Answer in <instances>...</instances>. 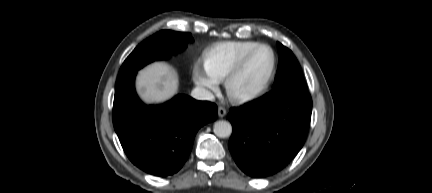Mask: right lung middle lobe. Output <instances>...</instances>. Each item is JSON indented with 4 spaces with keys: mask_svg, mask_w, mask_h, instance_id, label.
<instances>
[{
    "mask_svg": "<svg viewBox=\"0 0 432 193\" xmlns=\"http://www.w3.org/2000/svg\"><path fill=\"white\" fill-rule=\"evenodd\" d=\"M192 40L190 33L162 30L134 49L122 64L118 77L137 72L152 61L166 59L183 50Z\"/></svg>",
    "mask_w": 432,
    "mask_h": 193,
    "instance_id": "1",
    "label": "right lung middle lobe"
}]
</instances>
